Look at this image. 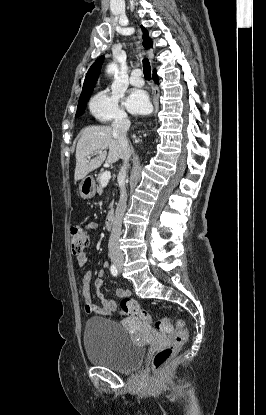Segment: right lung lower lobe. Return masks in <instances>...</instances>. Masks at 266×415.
<instances>
[{"label":"right lung lower lobe","mask_w":266,"mask_h":415,"mask_svg":"<svg viewBox=\"0 0 266 415\" xmlns=\"http://www.w3.org/2000/svg\"><path fill=\"white\" fill-rule=\"evenodd\" d=\"M153 80L158 84V76L156 71L153 72Z\"/></svg>","instance_id":"obj_1"}]
</instances>
